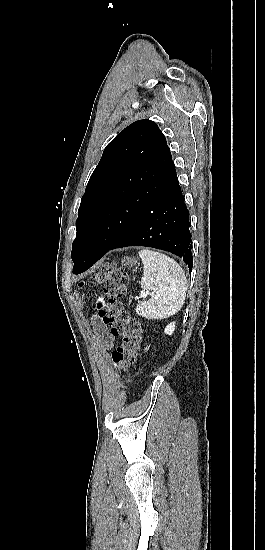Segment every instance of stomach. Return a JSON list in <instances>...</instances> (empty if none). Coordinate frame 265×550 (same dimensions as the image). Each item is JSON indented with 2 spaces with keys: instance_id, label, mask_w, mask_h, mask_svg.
I'll return each instance as SVG.
<instances>
[{
  "instance_id": "0dacf381",
  "label": "stomach",
  "mask_w": 265,
  "mask_h": 550,
  "mask_svg": "<svg viewBox=\"0 0 265 550\" xmlns=\"http://www.w3.org/2000/svg\"><path fill=\"white\" fill-rule=\"evenodd\" d=\"M123 263L125 264H129L130 266H133L136 264V259H130V258H126L122 261Z\"/></svg>"
}]
</instances>
